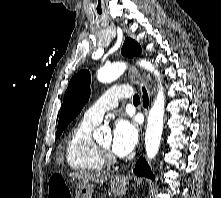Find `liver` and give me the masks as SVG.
Instances as JSON below:
<instances>
[{"mask_svg": "<svg viewBox=\"0 0 221 198\" xmlns=\"http://www.w3.org/2000/svg\"><path fill=\"white\" fill-rule=\"evenodd\" d=\"M69 177L73 179H78L84 182L104 183L105 181H107L106 176H102L100 174H94L90 172H74V173H70Z\"/></svg>", "mask_w": 221, "mask_h": 198, "instance_id": "6515ba94", "label": "liver"}]
</instances>
